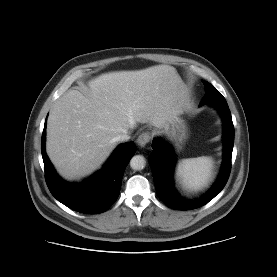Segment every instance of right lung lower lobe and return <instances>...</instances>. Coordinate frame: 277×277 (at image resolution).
Wrapping results in <instances>:
<instances>
[{"label":"right lung lower lobe","instance_id":"obj_1","mask_svg":"<svg viewBox=\"0 0 277 277\" xmlns=\"http://www.w3.org/2000/svg\"><path fill=\"white\" fill-rule=\"evenodd\" d=\"M45 128L41 140V152L47 186L52 195L67 207L86 214L106 211L117 200L122 178L129 160L135 154L134 142L121 144L104 164L103 168L82 183H68L55 172L45 152Z\"/></svg>","mask_w":277,"mask_h":277}]
</instances>
